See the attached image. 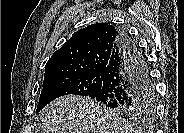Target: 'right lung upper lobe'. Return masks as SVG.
<instances>
[{"instance_id": "obj_1", "label": "right lung upper lobe", "mask_w": 184, "mask_h": 133, "mask_svg": "<svg viewBox=\"0 0 184 133\" xmlns=\"http://www.w3.org/2000/svg\"><path fill=\"white\" fill-rule=\"evenodd\" d=\"M119 38L120 31L109 23L78 30L46 63L43 85L64 77L103 74Z\"/></svg>"}]
</instances>
